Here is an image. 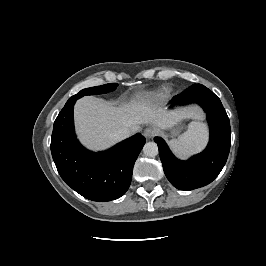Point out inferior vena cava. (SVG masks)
<instances>
[{"label": "inferior vena cava", "instance_id": "inferior-vena-cava-1", "mask_svg": "<svg viewBox=\"0 0 266 266\" xmlns=\"http://www.w3.org/2000/svg\"><path fill=\"white\" fill-rule=\"evenodd\" d=\"M132 134V131L127 128V127H123L121 129H119L118 131H116L115 135L118 139H125L127 137H129Z\"/></svg>", "mask_w": 266, "mask_h": 266}]
</instances>
